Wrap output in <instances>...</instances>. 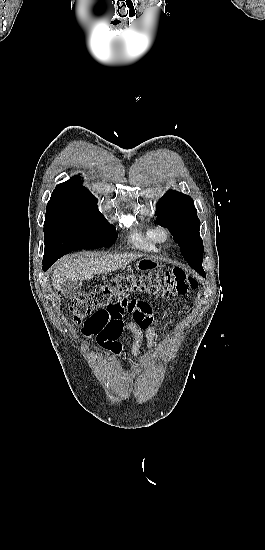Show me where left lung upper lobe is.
Here are the masks:
<instances>
[{
  "label": "left lung upper lobe",
  "mask_w": 265,
  "mask_h": 550,
  "mask_svg": "<svg viewBox=\"0 0 265 550\" xmlns=\"http://www.w3.org/2000/svg\"><path fill=\"white\" fill-rule=\"evenodd\" d=\"M156 223L168 228L192 268H202L203 243L194 201L186 194L168 191L156 205Z\"/></svg>",
  "instance_id": "1"
}]
</instances>
